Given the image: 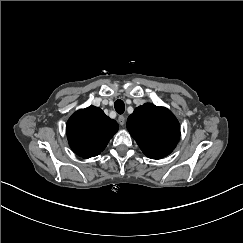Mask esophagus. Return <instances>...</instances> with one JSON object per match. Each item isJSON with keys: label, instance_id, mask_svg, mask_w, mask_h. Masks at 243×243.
Wrapping results in <instances>:
<instances>
[{"label": "esophagus", "instance_id": "obj_1", "mask_svg": "<svg viewBox=\"0 0 243 243\" xmlns=\"http://www.w3.org/2000/svg\"><path fill=\"white\" fill-rule=\"evenodd\" d=\"M118 122L121 126H123L125 124V117L123 115H120L118 117Z\"/></svg>", "mask_w": 243, "mask_h": 243}]
</instances>
